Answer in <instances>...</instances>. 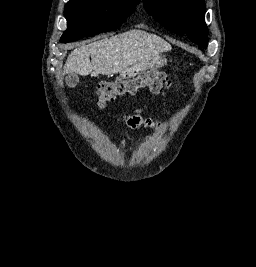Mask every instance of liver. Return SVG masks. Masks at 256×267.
<instances>
[{
	"instance_id": "liver-1",
	"label": "liver",
	"mask_w": 256,
	"mask_h": 267,
	"mask_svg": "<svg viewBox=\"0 0 256 267\" xmlns=\"http://www.w3.org/2000/svg\"><path fill=\"white\" fill-rule=\"evenodd\" d=\"M168 50H172L170 44L159 36L142 30H130L113 38L76 48L69 54L63 74H91L94 78L99 74L112 76Z\"/></svg>"
}]
</instances>
